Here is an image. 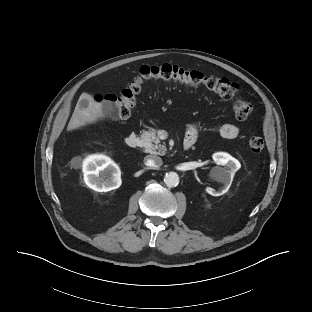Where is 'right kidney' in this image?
<instances>
[{"label": "right kidney", "instance_id": "1", "mask_svg": "<svg viewBox=\"0 0 312 312\" xmlns=\"http://www.w3.org/2000/svg\"><path fill=\"white\" fill-rule=\"evenodd\" d=\"M84 181L98 192L117 189L121 185V172L116 163L105 155H93L83 162Z\"/></svg>", "mask_w": 312, "mask_h": 312}]
</instances>
